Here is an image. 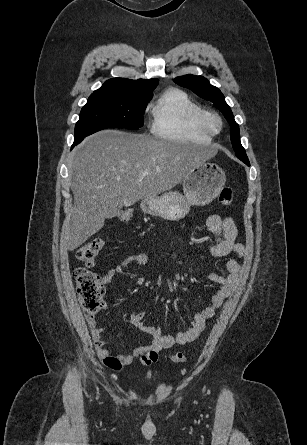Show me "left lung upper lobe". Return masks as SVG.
Instances as JSON below:
<instances>
[{
  "label": "left lung upper lobe",
  "mask_w": 307,
  "mask_h": 445,
  "mask_svg": "<svg viewBox=\"0 0 307 445\" xmlns=\"http://www.w3.org/2000/svg\"><path fill=\"white\" fill-rule=\"evenodd\" d=\"M175 83L180 86L191 89L195 94L203 99L213 102L214 106L218 108L228 123L231 125V142L236 152V156L245 164H250L246 156L245 150L240 142L239 126L234 120V116L229 105L225 102V98L221 91L212 86L209 81L202 76L185 75L174 79Z\"/></svg>",
  "instance_id": "1"
}]
</instances>
